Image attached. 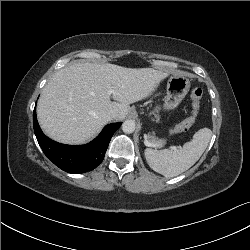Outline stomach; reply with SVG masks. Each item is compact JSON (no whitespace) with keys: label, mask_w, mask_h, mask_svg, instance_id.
Instances as JSON below:
<instances>
[{"label":"stomach","mask_w":250,"mask_h":250,"mask_svg":"<svg viewBox=\"0 0 250 250\" xmlns=\"http://www.w3.org/2000/svg\"><path fill=\"white\" fill-rule=\"evenodd\" d=\"M190 89V80L182 75H172L167 83V94L164 99L163 109L174 110L185 98Z\"/></svg>","instance_id":"1"}]
</instances>
